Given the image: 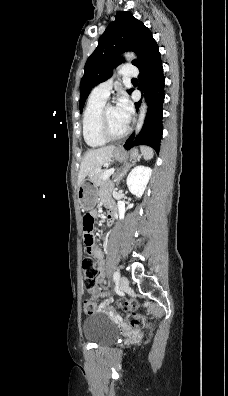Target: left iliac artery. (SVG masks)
<instances>
[{"instance_id": "44dca946", "label": "left iliac artery", "mask_w": 228, "mask_h": 396, "mask_svg": "<svg viewBox=\"0 0 228 396\" xmlns=\"http://www.w3.org/2000/svg\"><path fill=\"white\" fill-rule=\"evenodd\" d=\"M113 279H114V282H116V283L119 281V279H120V272L119 271H115L114 272Z\"/></svg>"}]
</instances>
